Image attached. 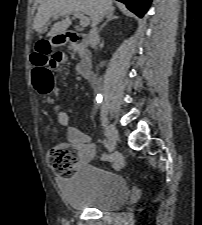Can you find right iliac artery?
I'll return each mask as SVG.
<instances>
[{
    "instance_id": "82829eb1",
    "label": "right iliac artery",
    "mask_w": 202,
    "mask_h": 225,
    "mask_svg": "<svg viewBox=\"0 0 202 225\" xmlns=\"http://www.w3.org/2000/svg\"><path fill=\"white\" fill-rule=\"evenodd\" d=\"M101 100H102V98H101ZM97 101H98V98H97ZM106 145H107V148H108L110 151H112V150L114 149V146L111 145L110 141H107V142H106Z\"/></svg>"
}]
</instances>
